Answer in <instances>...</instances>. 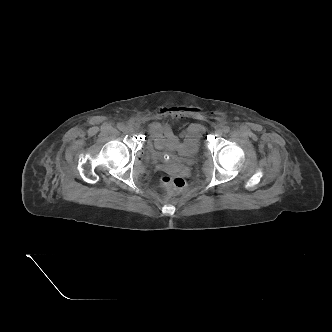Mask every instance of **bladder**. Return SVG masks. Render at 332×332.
Instances as JSON below:
<instances>
[{"mask_svg":"<svg viewBox=\"0 0 332 332\" xmlns=\"http://www.w3.org/2000/svg\"><path fill=\"white\" fill-rule=\"evenodd\" d=\"M180 159L190 161L196 158L200 152V144L196 143L193 146H184L181 150H176ZM153 158L160 160L163 156L159 153L152 152Z\"/></svg>","mask_w":332,"mask_h":332,"instance_id":"obj_1","label":"bladder"}]
</instances>
